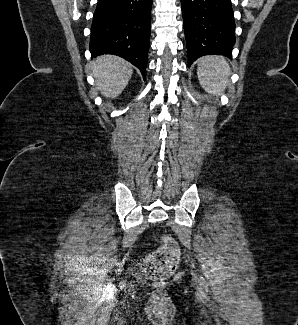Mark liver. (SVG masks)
Here are the masks:
<instances>
[{"instance_id": "6515ba94", "label": "liver", "mask_w": 298, "mask_h": 325, "mask_svg": "<svg viewBox=\"0 0 298 325\" xmlns=\"http://www.w3.org/2000/svg\"><path fill=\"white\" fill-rule=\"evenodd\" d=\"M92 74L97 78L96 84L103 96L115 98L121 94L133 74L130 62L114 56V54H103L97 56L92 62Z\"/></svg>"}]
</instances>
